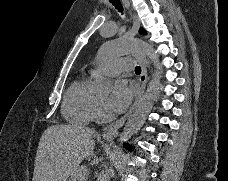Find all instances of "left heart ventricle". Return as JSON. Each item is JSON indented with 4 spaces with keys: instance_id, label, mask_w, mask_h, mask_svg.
<instances>
[{
    "instance_id": "obj_1",
    "label": "left heart ventricle",
    "mask_w": 228,
    "mask_h": 181,
    "mask_svg": "<svg viewBox=\"0 0 228 181\" xmlns=\"http://www.w3.org/2000/svg\"><path fill=\"white\" fill-rule=\"evenodd\" d=\"M117 73H112L109 76H99L98 78H107L110 81V89L109 91L112 89L113 85L115 84L116 81H118V79H116ZM116 80V81H114Z\"/></svg>"
}]
</instances>
